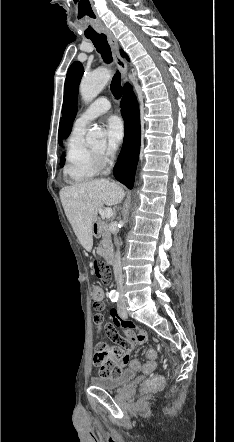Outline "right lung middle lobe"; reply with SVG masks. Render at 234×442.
Listing matches in <instances>:
<instances>
[{"label":"right lung middle lobe","instance_id":"obj_1","mask_svg":"<svg viewBox=\"0 0 234 442\" xmlns=\"http://www.w3.org/2000/svg\"><path fill=\"white\" fill-rule=\"evenodd\" d=\"M64 163H65V160H64V156L62 155V157H61V161H60V165L63 166Z\"/></svg>","mask_w":234,"mask_h":442}]
</instances>
